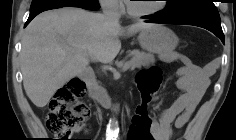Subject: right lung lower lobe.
<instances>
[{
    "mask_svg": "<svg viewBox=\"0 0 236 140\" xmlns=\"http://www.w3.org/2000/svg\"><path fill=\"white\" fill-rule=\"evenodd\" d=\"M62 7H77V6H62ZM56 8H61V7H53V8H47V9H42V10H37V11H34V12H30V15H29V18L25 24L28 25L29 22L36 16L38 15L39 13L43 12V11H46V10H50V9H56ZM81 8V7H80Z\"/></svg>",
    "mask_w": 236,
    "mask_h": 140,
    "instance_id": "1",
    "label": "right lung lower lobe"
}]
</instances>
